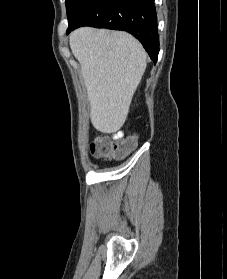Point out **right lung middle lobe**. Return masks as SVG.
Listing matches in <instances>:
<instances>
[{
    "mask_svg": "<svg viewBox=\"0 0 227 279\" xmlns=\"http://www.w3.org/2000/svg\"><path fill=\"white\" fill-rule=\"evenodd\" d=\"M87 0H66V9H67V16H68V28L72 26L75 18L81 9L82 5Z\"/></svg>",
    "mask_w": 227,
    "mask_h": 279,
    "instance_id": "1",
    "label": "right lung middle lobe"
}]
</instances>
